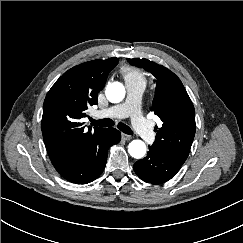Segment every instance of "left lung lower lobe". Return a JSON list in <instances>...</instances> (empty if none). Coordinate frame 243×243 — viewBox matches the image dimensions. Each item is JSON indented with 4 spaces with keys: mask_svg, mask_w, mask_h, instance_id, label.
<instances>
[{
    "mask_svg": "<svg viewBox=\"0 0 243 243\" xmlns=\"http://www.w3.org/2000/svg\"><path fill=\"white\" fill-rule=\"evenodd\" d=\"M182 165V162L166 152L151 146L147 156L137 161L133 168L144 182L161 184L170 180Z\"/></svg>",
    "mask_w": 243,
    "mask_h": 243,
    "instance_id": "obj_1",
    "label": "left lung lower lobe"
}]
</instances>
